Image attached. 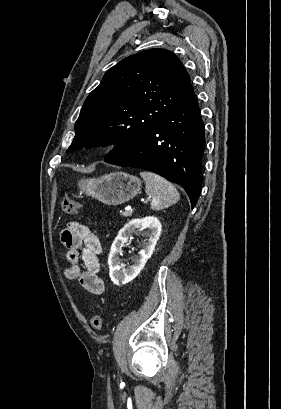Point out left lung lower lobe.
I'll list each match as a JSON object with an SVG mask.
<instances>
[{
	"instance_id": "0a47b994",
	"label": "left lung lower lobe",
	"mask_w": 281,
	"mask_h": 409,
	"mask_svg": "<svg viewBox=\"0 0 281 409\" xmlns=\"http://www.w3.org/2000/svg\"><path fill=\"white\" fill-rule=\"evenodd\" d=\"M205 129L194 91L136 143L108 163L153 171L180 184L191 207L202 187Z\"/></svg>"
}]
</instances>
